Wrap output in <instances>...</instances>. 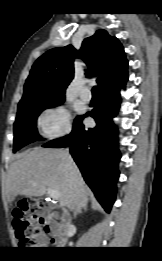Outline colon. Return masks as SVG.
Segmentation results:
<instances>
[{"label":"colon","mask_w":162,"mask_h":261,"mask_svg":"<svg viewBox=\"0 0 162 261\" xmlns=\"http://www.w3.org/2000/svg\"><path fill=\"white\" fill-rule=\"evenodd\" d=\"M57 215L45 200H27L13 211V227L23 248H36L47 243L42 231L46 218Z\"/></svg>","instance_id":"colon-1"}]
</instances>
